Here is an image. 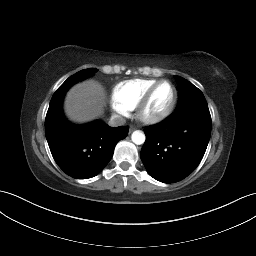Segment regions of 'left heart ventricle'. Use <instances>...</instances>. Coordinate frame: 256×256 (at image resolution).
Listing matches in <instances>:
<instances>
[{
  "label": "left heart ventricle",
  "instance_id": "1",
  "mask_svg": "<svg viewBox=\"0 0 256 256\" xmlns=\"http://www.w3.org/2000/svg\"><path fill=\"white\" fill-rule=\"evenodd\" d=\"M173 95L172 88L169 84H162L154 93L148 107L149 113H159L163 111L171 102Z\"/></svg>",
  "mask_w": 256,
  "mask_h": 256
}]
</instances>
